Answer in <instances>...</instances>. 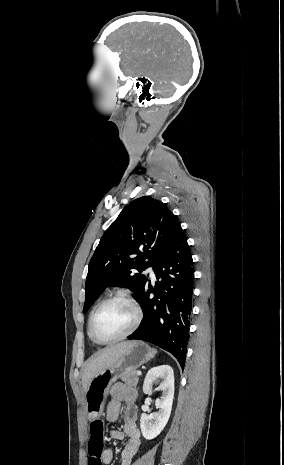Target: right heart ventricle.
<instances>
[{"label":"right heart ventricle","instance_id":"obj_1","mask_svg":"<svg viewBox=\"0 0 284 465\" xmlns=\"http://www.w3.org/2000/svg\"><path fill=\"white\" fill-rule=\"evenodd\" d=\"M99 304H100V302L93 308V310L91 311V313H90V315H89L88 322H87V333H88V336H89V338H90L91 341H93V340H92V338H91V336H90V334H89V322H90V318H91V316H92L94 310L96 309V307H97Z\"/></svg>","mask_w":284,"mask_h":465}]
</instances>
